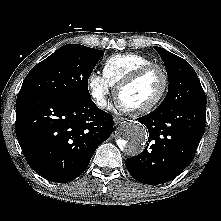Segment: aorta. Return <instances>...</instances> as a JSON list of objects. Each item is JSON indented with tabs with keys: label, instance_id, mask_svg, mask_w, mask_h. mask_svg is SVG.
Instances as JSON below:
<instances>
[{
	"label": "aorta",
	"instance_id": "1",
	"mask_svg": "<svg viewBox=\"0 0 221 221\" xmlns=\"http://www.w3.org/2000/svg\"><path fill=\"white\" fill-rule=\"evenodd\" d=\"M123 139L118 140L122 151L129 156H135L142 152L147 140V132L143 125L130 121L123 124Z\"/></svg>",
	"mask_w": 221,
	"mask_h": 221
}]
</instances>
